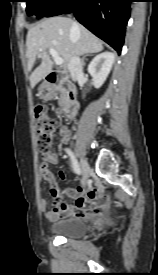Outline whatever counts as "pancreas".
Masks as SVG:
<instances>
[{
  "label": "pancreas",
  "mask_w": 158,
  "mask_h": 275,
  "mask_svg": "<svg viewBox=\"0 0 158 275\" xmlns=\"http://www.w3.org/2000/svg\"><path fill=\"white\" fill-rule=\"evenodd\" d=\"M59 91H60V98H59V104H61L62 102H63V98H64V96H65V92H66V90H65V88H62V87H60L59 88Z\"/></svg>",
  "instance_id": "1"
}]
</instances>
